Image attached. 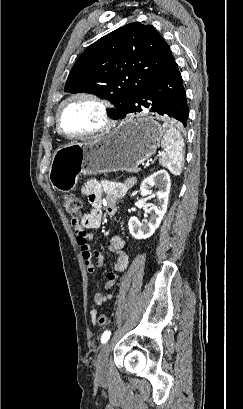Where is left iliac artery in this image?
Listing matches in <instances>:
<instances>
[{
	"instance_id": "1",
	"label": "left iliac artery",
	"mask_w": 243,
	"mask_h": 409,
	"mask_svg": "<svg viewBox=\"0 0 243 409\" xmlns=\"http://www.w3.org/2000/svg\"><path fill=\"white\" fill-rule=\"evenodd\" d=\"M110 335H111V332H110V331H105V332L103 333V335H102L101 342H102L103 344H105V343L109 340Z\"/></svg>"
}]
</instances>
